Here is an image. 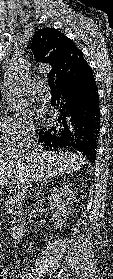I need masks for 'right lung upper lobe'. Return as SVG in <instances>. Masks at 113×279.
I'll list each match as a JSON object with an SVG mask.
<instances>
[{
    "mask_svg": "<svg viewBox=\"0 0 113 279\" xmlns=\"http://www.w3.org/2000/svg\"><path fill=\"white\" fill-rule=\"evenodd\" d=\"M31 49L39 62L52 66L49 76L54 77L57 88L79 77L88 66L74 42L53 28L38 30Z\"/></svg>",
    "mask_w": 113,
    "mask_h": 279,
    "instance_id": "1",
    "label": "right lung upper lobe"
}]
</instances>
